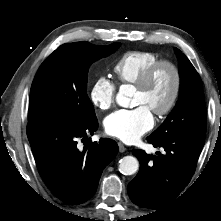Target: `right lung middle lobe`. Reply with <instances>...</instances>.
Returning a JSON list of instances; mask_svg holds the SVG:
<instances>
[{"label":"right lung middle lobe","instance_id":"right-lung-middle-lobe-1","mask_svg":"<svg viewBox=\"0 0 221 221\" xmlns=\"http://www.w3.org/2000/svg\"><path fill=\"white\" fill-rule=\"evenodd\" d=\"M119 46H98L88 42L64 44L40 66L30 92L28 121L54 118L70 123L96 120L87 96L90 65L113 53Z\"/></svg>","mask_w":221,"mask_h":221}]
</instances>
